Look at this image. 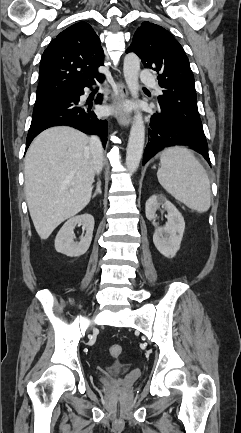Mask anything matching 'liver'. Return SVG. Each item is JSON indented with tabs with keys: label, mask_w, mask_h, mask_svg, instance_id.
<instances>
[{
	"label": "liver",
	"mask_w": 241,
	"mask_h": 433,
	"mask_svg": "<svg viewBox=\"0 0 241 433\" xmlns=\"http://www.w3.org/2000/svg\"><path fill=\"white\" fill-rule=\"evenodd\" d=\"M89 144L86 134L58 126L39 134L26 153V200L42 240L90 202L96 170Z\"/></svg>",
	"instance_id": "6515ba94"
}]
</instances>
